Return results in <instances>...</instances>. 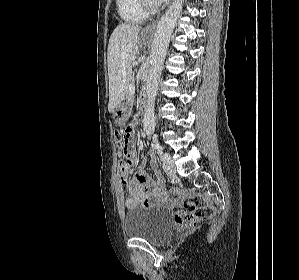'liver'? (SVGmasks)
Returning <instances> with one entry per match:
<instances>
[{
    "label": "liver",
    "instance_id": "obj_1",
    "mask_svg": "<svg viewBox=\"0 0 299 280\" xmlns=\"http://www.w3.org/2000/svg\"><path fill=\"white\" fill-rule=\"evenodd\" d=\"M140 27L119 24L112 32L107 52L109 73L108 111L113 112L123 101L132 74Z\"/></svg>",
    "mask_w": 299,
    "mask_h": 280
}]
</instances>
